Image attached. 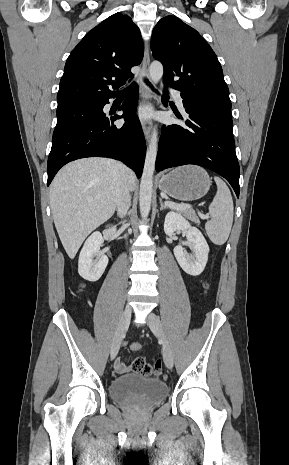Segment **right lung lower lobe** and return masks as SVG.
Listing matches in <instances>:
<instances>
[{"label": "right lung lower lobe", "mask_w": 289, "mask_h": 465, "mask_svg": "<svg viewBox=\"0 0 289 465\" xmlns=\"http://www.w3.org/2000/svg\"><path fill=\"white\" fill-rule=\"evenodd\" d=\"M138 100V89L133 88L120 107L125 115L122 127L113 123L121 116L101 115L92 121L81 123L53 137L47 163L48 181L51 183L58 170L66 163L85 157H107L118 159L141 176L146 144L134 107ZM108 103L105 100L104 105Z\"/></svg>", "instance_id": "1"}]
</instances>
